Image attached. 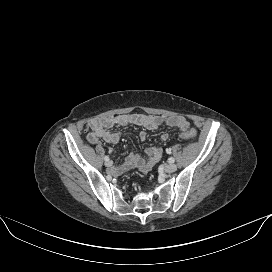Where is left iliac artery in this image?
<instances>
[{
  "mask_svg": "<svg viewBox=\"0 0 272 272\" xmlns=\"http://www.w3.org/2000/svg\"><path fill=\"white\" fill-rule=\"evenodd\" d=\"M166 152L168 153V154H170L171 153V149L169 148V149H166ZM174 161H175V159L173 158V157H170L169 159H168V162L169 163H174Z\"/></svg>",
  "mask_w": 272,
  "mask_h": 272,
  "instance_id": "44dca946",
  "label": "left iliac artery"
}]
</instances>
